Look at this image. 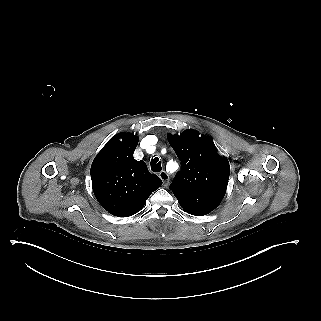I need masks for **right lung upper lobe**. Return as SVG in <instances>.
Listing matches in <instances>:
<instances>
[{
  "label": "right lung upper lobe",
  "instance_id": "obj_1",
  "mask_svg": "<svg viewBox=\"0 0 321 321\" xmlns=\"http://www.w3.org/2000/svg\"><path fill=\"white\" fill-rule=\"evenodd\" d=\"M138 137L119 133L97 154L91 165L94 194L102 207L117 217L139 212L150 194L161 185V179L151 174L146 164L133 158Z\"/></svg>",
  "mask_w": 321,
  "mask_h": 321
}]
</instances>
